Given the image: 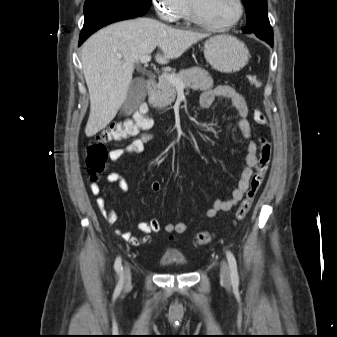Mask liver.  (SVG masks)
<instances>
[{
  "label": "liver",
  "mask_w": 337,
  "mask_h": 337,
  "mask_svg": "<svg viewBox=\"0 0 337 337\" xmlns=\"http://www.w3.org/2000/svg\"><path fill=\"white\" fill-rule=\"evenodd\" d=\"M204 34L176 29L157 20L138 18L109 25L83 45L81 62L90 96L85 134L91 137L105 128L127 99L134 64L156 47L159 64L180 57Z\"/></svg>",
  "instance_id": "liver-1"
}]
</instances>
